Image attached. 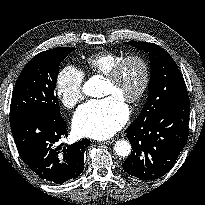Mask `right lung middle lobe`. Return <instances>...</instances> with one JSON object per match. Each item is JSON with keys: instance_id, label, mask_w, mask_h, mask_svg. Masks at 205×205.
Segmentation results:
<instances>
[{"instance_id": "1", "label": "right lung middle lobe", "mask_w": 205, "mask_h": 205, "mask_svg": "<svg viewBox=\"0 0 205 205\" xmlns=\"http://www.w3.org/2000/svg\"><path fill=\"white\" fill-rule=\"evenodd\" d=\"M74 48L59 47L37 54L22 70L11 100L10 115L35 114L51 120H61L54 94L62 60Z\"/></svg>"}]
</instances>
